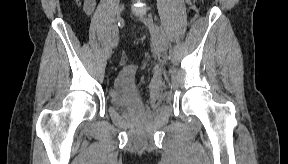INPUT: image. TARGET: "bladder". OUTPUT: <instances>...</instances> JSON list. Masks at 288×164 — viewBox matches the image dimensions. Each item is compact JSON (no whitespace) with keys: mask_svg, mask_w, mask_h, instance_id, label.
I'll return each mask as SVG.
<instances>
[{"mask_svg":"<svg viewBox=\"0 0 288 164\" xmlns=\"http://www.w3.org/2000/svg\"><path fill=\"white\" fill-rule=\"evenodd\" d=\"M109 97L112 104L120 108H136L144 104V98L135 81L133 66L123 67L117 71Z\"/></svg>","mask_w":288,"mask_h":164,"instance_id":"bladder-1","label":"bladder"}]
</instances>
